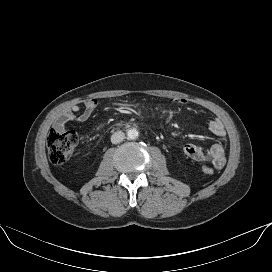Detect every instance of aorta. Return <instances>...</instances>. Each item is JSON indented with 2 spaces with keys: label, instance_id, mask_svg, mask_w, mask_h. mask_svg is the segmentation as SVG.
I'll return each instance as SVG.
<instances>
[{
  "label": "aorta",
  "instance_id": "762f6f07",
  "mask_svg": "<svg viewBox=\"0 0 272 272\" xmlns=\"http://www.w3.org/2000/svg\"><path fill=\"white\" fill-rule=\"evenodd\" d=\"M127 137L130 140H134L138 137V131L136 129H129L127 132Z\"/></svg>",
  "mask_w": 272,
  "mask_h": 272
}]
</instances>
